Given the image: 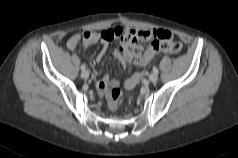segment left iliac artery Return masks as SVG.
Listing matches in <instances>:
<instances>
[{
  "label": "left iliac artery",
  "mask_w": 238,
  "mask_h": 158,
  "mask_svg": "<svg viewBox=\"0 0 238 158\" xmlns=\"http://www.w3.org/2000/svg\"><path fill=\"white\" fill-rule=\"evenodd\" d=\"M153 72L158 74V69L156 66L153 67Z\"/></svg>",
  "instance_id": "left-iliac-artery-1"
}]
</instances>
